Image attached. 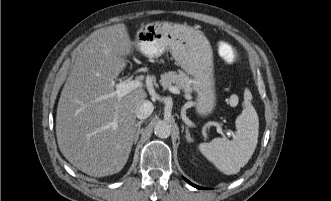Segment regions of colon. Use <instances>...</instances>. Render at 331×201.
Instances as JSON below:
<instances>
[{
  "label": "colon",
  "mask_w": 331,
  "mask_h": 201,
  "mask_svg": "<svg viewBox=\"0 0 331 201\" xmlns=\"http://www.w3.org/2000/svg\"><path fill=\"white\" fill-rule=\"evenodd\" d=\"M219 54L227 63H234L237 60V51L230 43H221L219 45Z\"/></svg>",
  "instance_id": "1"
}]
</instances>
